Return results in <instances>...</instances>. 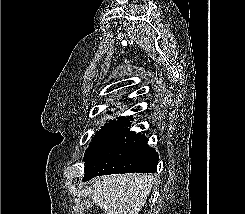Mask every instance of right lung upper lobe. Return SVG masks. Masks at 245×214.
Masks as SVG:
<instances>
[{"label":"right lung upper lobe","instance_id":"right-lung-upper-lobe-1","mask_svg":"<svg viewBox=\"0 0 245 214\" xmlns=\"http://www.w3.org/2000/svg\"><path fill=\"white\" fill-rule=\"evenodd\" d=\"M129 119H131V117H119L118 120H110L109 123H106L100 131H97L96 135H105L117 130H126L128 129V127L125 129L126 126H131Z\"/></svg>","mask_w":245,"mask_h":214}]
</instances>
